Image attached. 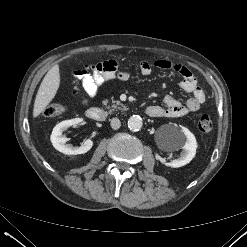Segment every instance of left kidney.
I'll return each mask as SVG.
<instances>
[{
  "label": "left kidney",
  "mask_w": 247,
  "mask_h": 247,
  "mask_svg": "<svg viewBox=\"0 0 247 247\" xmlns=\"http://www.w3.org/2000/svg\"><path fill=\"white\" fill-rule=\"evenodd\" d=\"M169 145L171 149H182L179 158L165 163L169 167H182L188 164L196 154V138L193 133L185 127H174V132L169 136Z\"/></svg>",
  "instance_id": "1"
}]
</instances>
